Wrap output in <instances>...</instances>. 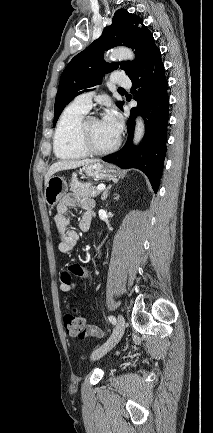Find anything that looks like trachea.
<instances>
[{"instance_id":"obj_1","label":"trachea","mask_w":213,"mask_h":433,"mask_svg":"<svg viewBox=\"0 0 213 433\" xmlns=\"http://www.w3.org/2000/svg\"><path fill=\"white\" fill-rule=\"evenodd\" d=\"M119 90H123V88H119Z\"/></svg>"}]
</instances>
